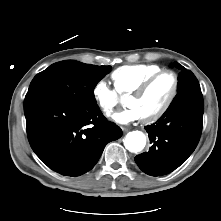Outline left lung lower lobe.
I'll return each mask as SVG.
<instances>
[{
  "instance_id": "left-lung-lower-lobe-1",
  "label": "left lung lower lobe",
  "mask_w": 221,
  "mask_h": 221,
  "mask_svg": "<svg viewBox=\"0 0 221 221\" xmlns=\"http://www.w3.org/2000/svg\"><path fill=\"white\" fill-rule=\"evenodd\" d=\"M203 96L196 90L169 107L155 123L146 126L152 146L135 157L148 175L162 176L182 165L195 150L202 131Z\"/></svg>"
}]
</instances>
